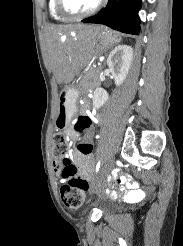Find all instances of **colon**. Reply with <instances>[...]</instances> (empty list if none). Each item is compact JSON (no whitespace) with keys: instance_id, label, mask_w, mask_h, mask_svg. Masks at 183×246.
I'll use <instances>...</instances> for the list:
<instances>
[{"instance_id":"colon-1","label":"colon","mask_w":183,"mask_h":246,"mask_svg":"<svg viewBox=\"0 0 183 246\" xmlns=\"http://www.w3.org/2000/svg\"><path fill=\"white\" fill-rule=\"evenodd\" d=\"M58 125L65 123V114H61ZM77 133H82L85 138H94L97 135L96 125H92L87 116H80L74 125ZM77 152L85 157H96L94 147L90 142L77 144ZM52 156L55 171L61 178L60 195L64 205L70 209H78L83 204V193L89 189V182L78 173L77 167L69 158V148L64 135L55 132L52 140Z\"/></svg>"}]
</instances>
